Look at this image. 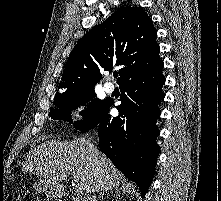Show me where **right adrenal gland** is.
<instances>
[{
    "instance_id": "2a0ac1e0",
    "label": "right adrenal gland",
    "mask_w": 221,
    "mask_h": 201,
    "mask_svg": "<svg viewBox=\"0 0 221 201\" xmlns=\"http://www.w3.org/2000/svg\"><path fill=\"white\" fill-rule=\"evenodd\" d=\"M109 192L108 190H103L102 192H100L99 197H98V201L102 200V197L104 196L105 193ZM111 194L115 193L116 195H118L119 190L115 189V190H110Z\"/></svg>"
}]
</instances>
